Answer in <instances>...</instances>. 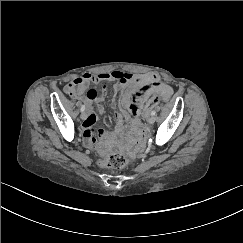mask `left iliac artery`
I'll return each mask as SVG.
<instances>
[{
    "instance_id": "left-iliac-artery-1",
    "label": "left iliac artery",
    "mask_w": 243,
    "mask_h": 243,
    "mask_svg": "<svg viewBox=\"0 0 243 243\" xmlns=\"http://www.w3.org/2000/svg\"><path fill=\"white\" fill-rule=\"evenodd\" d=\"M151 115H152V116H155V115H156V112L153 110V111L151 112Z\"/></svg>"
}]
</instances>
